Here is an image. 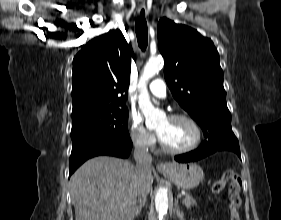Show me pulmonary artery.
Segmentation results:
<instances>
[{
  "label": "pulmonary artery",
  "mask_w": 281,
  "mask_h": 220,
  "mask_svg": "<svg viewBox=\"0 0 281 220\" xmlns=\"http://www.w3.org/2000/svg\"><path fill=\"white\" fill-rule=\"evenodd\" d=\"M150 93L158 99H164L166 97V85L163 80L155 79L149 85Z\"/></svg>",
  "instance_id": "pulmonary-artery-1"
}]
</instances>
